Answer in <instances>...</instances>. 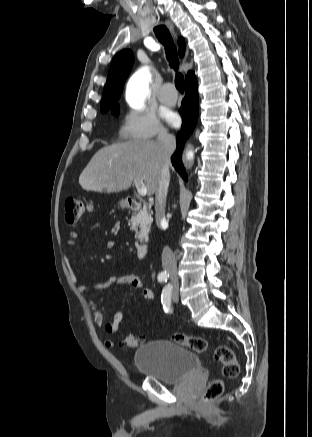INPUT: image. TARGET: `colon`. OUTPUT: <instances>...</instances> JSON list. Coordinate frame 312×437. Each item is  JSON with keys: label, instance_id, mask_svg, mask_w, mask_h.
Here are the masks:
<instances>
[{"label": "colon", "instance_id": "obj_1", "mask_svg": "<svg viewBox=\"0 0 312 437\" xmlns=\"http://www.w3.org/2000/svg\"><path fill=\"white\" fill-rule=\"evenodd\" d=\"M93 209L92 203L76 198H68L65 202V220L73 224L85 216ZM173 342L188 347L197 353L210 351L214 360L222 364V374L225 378H235L239 374V363L231 348L226 345H216L210 347L208 342L200 337L188 336L182 333L171 335ZM124 345L129 348L138 347L142 343V338L133 334H128L124 339ZM224 391V381L222 379L213 380L206 388L204 399L212 401L222 395Z\"/></svg>", "mask_w": 312, "mask_h": 437}]
</instances>
